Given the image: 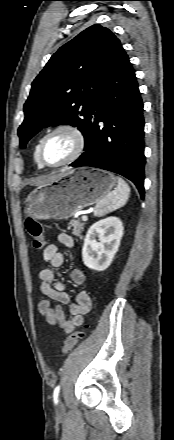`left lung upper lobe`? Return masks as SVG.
Segmentation results:
<instances>
[{"mask_svg": "<svg viewBox=\"0 0 174 440\" xmlns=\"http://www.w3.org/2000/svg\"><path fill=\"white\" fill-rule=\"evenodd\" d=\"M123 52L119 39L99 24L60 47L32 83L18 129L21 147L47 126H77L86 137L92 104Z\"/></svg>", "mask_w": 174, "mask_h": 440, "instance_id": "1", "label": "left lung upper lobe"}]
</instances>
